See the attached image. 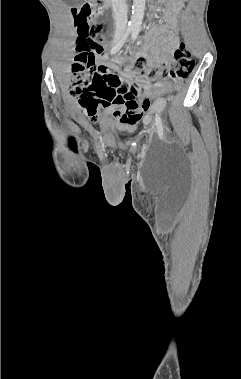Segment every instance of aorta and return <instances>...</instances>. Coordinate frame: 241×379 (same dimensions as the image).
<instances>
[{"label":"aorta","instance_id":"obj_1","mask_svg":"<svg viewBox=\"0 0 241 379\" xmlns=\"http://www.w3.org/2000/svg\"><path fill=\"white\" fill-rule=\"evenodd\" d=\"M145 10V0H133L132 17L130 21L131 30L138 31L140 29Z\"/></svg>","mask_w":241,"mask_h":379}]
</instances>
